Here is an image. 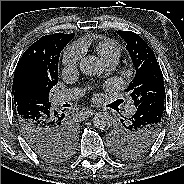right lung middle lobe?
<instances>
[{
  "instance_id": "dd1d6c3e",
  "label": "right lung middle lobe",
  "mask_w": 184,
  "mask_h": 184,
  "mask_svg": "<svg viewBox=\"0 0 184 184\" xmlns=\"http://www.w3.org/2000/svg\"><path fill=\"white\" fill-rule=\"evenodd\" d=\"M60 57V56H58ZM50 88L38 87L37 85H24L14 95L15 104L18 103H46L49 102ZM76 130L70 127L65 130L62 141L48 150L40 151L37 154L44 160L59 162L68 158L75 147Z\"/></svg>"
}]
</instances>
